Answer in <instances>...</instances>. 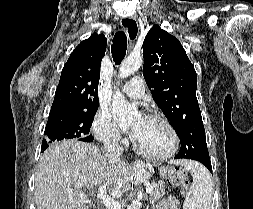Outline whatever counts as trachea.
I'll use <instances>...</instances> for the list:
<instances>
[{
	"mask_svg": "<svg viewBox=\"0 0 253 209\" xmlns=\"http://www.w3.org/2000/svg\"><path fill=\"white\" fill-rule=\"evenodd\" d=\"M129 32H132V27L127 25ZM137 27V25H136ZM127 50V37L123 31H118L114 38L111 46V53L115 64L119 65L126 55Z\"/></svg>",
	"mask_w": 253,
	"mask_h": 209,
	"instance_id": "3493384b",
	"label": "trachea"
}]
</instances>
